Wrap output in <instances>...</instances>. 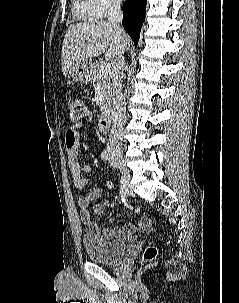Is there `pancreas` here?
<instances>
[{
    "mask_svg": "<svg viewBox=\"0 0 239 303\" xmlns=\"http://www.w3.org/2000/svg\"><path fill=\"white\" fill-rule=\"evenodd\" d=\"M102 63H93L90 64L89 72H90V80L95 88H98L100 91V102L99 106L101 107V112H105L110 108L111 103V83L110 76L106 75L104 77H100V68Z\"/></svg>",
    "mask_w": 239,
    "mask_h": 303,
    "instance_id": "1",
    "label": "pancreas"
}]
</instances>
